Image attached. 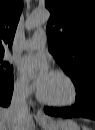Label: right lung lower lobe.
Listing matches in <instances>:
<instances>
[{"label": "right lung lower lobe", "instance_id": "1", "mask_svg": "<svg viewBox=\"0 0 95 130\" xmlns=\"http://www.w3.org/2000/svg\"><path fill=\"white\" fill-rule=\"evenodd\" d=\"M13 80L9 83L0 85V105L8 106L10 104V100L13 92Z\"/></svg>", "mask_w": 95, "mask_h": 130}]
</instances>
